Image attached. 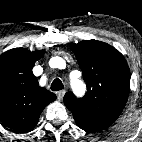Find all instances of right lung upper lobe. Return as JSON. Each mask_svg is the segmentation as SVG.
<instances>
[{
	"mask_svg": "<svg viewBox=\"0 0 142 142\" xmlns=\"http://www.w3.org/2000/svg\"><path fill=\"white\" fill-rule=\"evenodd\" d=\"M44 53L14 48L0 56V120L18 133L33 130L42 110L56 99L32 72Z\"/></svg>",
	"mask_w": 142,
	"mask_h": 142,
	"instance_id": "cb5924a9",
	"label": "right lung upper lobe"
}]
</instances>
